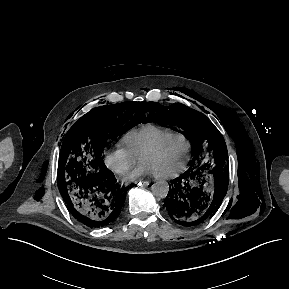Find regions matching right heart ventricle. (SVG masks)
Masks as SVG:
<instances>
[{
  "mask_svg": "<svg viewBox=\"0 0 289 289\" xmlns=\"http://www.w3.org/2000/svg\"><path fill=\"white\" fill-rule=\"evenodd\" d=\"M175 132L174 130L154 124H145L126 132L120 143L139 157L142 152L163 136Z\"/></svg>",
  "mask_w": 289,
  "mask_h": 289,
  "instance_id": "obj_1",
  "label": "right heart ventricle"
}]
</instances>
